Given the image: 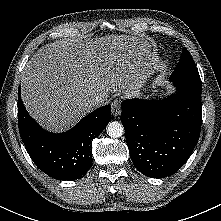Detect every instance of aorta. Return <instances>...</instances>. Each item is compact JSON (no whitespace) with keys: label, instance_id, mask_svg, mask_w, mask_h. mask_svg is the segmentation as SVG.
<instances>
[{"label":"aorta","instance_id":"1","mask_svg":"<svg viewBox=\"0 0 221 221\" xmlns=\"http://www.w3.org/2000/svg\"><path fill=\"white\" fill-rule=\"evenodd\" d=\"M106 130H107V134L111 138H119L123 135V132H124L123 125L117 121L110 122L107 125Z\"/></svg>","mask_w":221,"mask_h":221}]
</instances>
